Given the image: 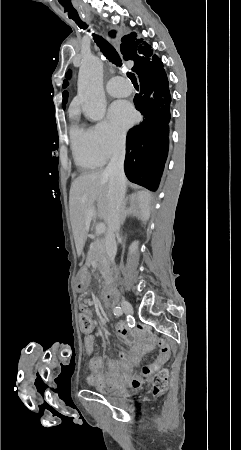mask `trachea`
I'll return each instance as SVG.
<instances>
[{"instance_id": "1", "label": "trachea", "mask_w": 241, "mask_h": 450, "mask_svg": "<svg viewBox=\"0 0 241 450\" xmlns=\"http://www.w3.org/2000/svg\"><path fill=\"white\" fill-rule=\"evenodd\" d=\"M76 24L82 29H87V25L84 22H76ZM93 39L97 46L100 48L103 55H105V57L108 58L110 62L114 63L116 66H122V61L118 53L116 52L115 48L110 45V43L96 34H93ZM127 76L128 78H130L131 82L134 85H137V78L135 77L134 73L127 72Z\"/></svg>"}]
</instances>
